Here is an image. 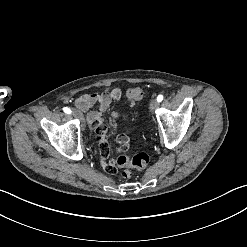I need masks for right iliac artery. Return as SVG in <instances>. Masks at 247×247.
<instances>
[{"instance_id":"1","label":"right iliac artery","mask_w":247,"mask_h":247,"mask_svg":"<svg viewBox=\"0 0 247 247\" xmlns=\"http://www.w3.org/2000/svg\"><path fill=\"white\" fill-rule=\"evenodd\" d=\"M63 111L67 114H70L72 112L68 107H64Z\"/></svg>"}]
</instances>
